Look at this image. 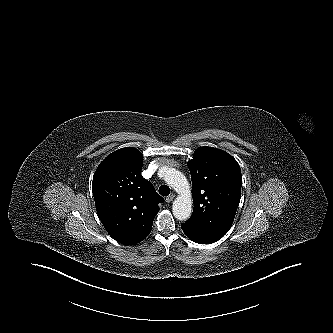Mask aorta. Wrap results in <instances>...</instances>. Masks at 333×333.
<instances>
[{
  "label": "aorta",
  "instance_id": "obj_1",
  "mask_svg": "<svg viewBox=\"0 0 333 333\" xmlns=\"http://www.w3.org/2000/svg\"><path fill=\"white\" fill-rule=\"evenodd\" d=\"M165 172V181L179 193V196L173 202V215L178 220H187L192 212V197L189 183L186 177L174 168H166Z\"/></svg>",
  "mask_w": 333,
  "mask_h": 333
}]
</instances>
